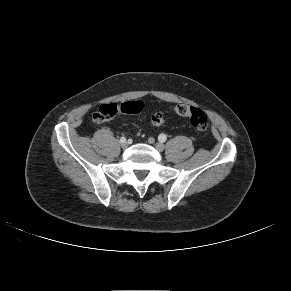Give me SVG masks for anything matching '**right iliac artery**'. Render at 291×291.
Here are the masks:
<instances>
[{"label": "right iliac artery", "instance_id": "1", "mask_svg": "<svg viewBox=\"0 0 291 291\" xmlns=\"http://www.w3.org/2000/svg\"><path fill=\"white\" fill-rule=\"evenodd\" d=\"M120 142H121V143L126 142V138H125V137H121V138H120Z\"/></svg>", "mask_w": 291, "mask_h": 291}]
</instances>
